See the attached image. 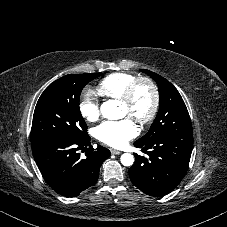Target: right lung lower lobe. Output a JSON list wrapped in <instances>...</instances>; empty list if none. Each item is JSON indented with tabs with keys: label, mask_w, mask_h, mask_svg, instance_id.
I'll return each instance as SVG.
<instances>
[{
	"label": "right lung lower lobe",
	"mask_w": 227,
	"mask_h": 227,
	"mask_svg": "<svg viewBox=\"0 0 227 227\" xmlns=\"http://www.w3.org/2000/svg\"><path fill=\"white\" fill-rule=\"evenodd\" d=\"M81 149L86 153L85 158H80ZM32 152L44 180L66 197H76L93 186L101 164L111 155L102 146L96 149L90 146L88 135L82 139L50 138L32 146Z\"/></svg>",
	"instance_id": "obj_1"
}]
</instances>
